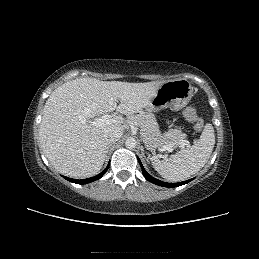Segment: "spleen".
Wrapping results in <instances>:
<instances>
[{"mask_svg": "<svg viewBox=\"0 0 259 259\" xmlns=\"http://www.w3.org/2000/svg\"><path fill=\"white\" fill-rule=\"evenodd\" d=\"M214 145L213 126L206 124L196 144L180 150L168 159L154 161L152 165L164 179L171 182L183 181L204 167Z\"/></svg>", "mask_w": 259, "mask_h": 259, "instance_id": "spleen-1", "label": "spleen"}]
</instances>
